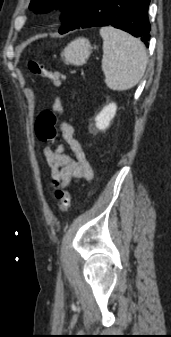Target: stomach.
<instances>
[{"label":"stomach","instance_id":"obj_1","mask_svg":"<svg viewBox=\"0 0 171 337\" xmlns=\"http://www.w3.org/2000/svg\"><path fill=\"white\" fill-rule=\"evenodd\" d=\"M90 54V42L85 38H78L65 47L61 53V57L66 64L80 66L86 63Z\"/></svg>","mask_w":171,"mask_h":337}]
</instances>
